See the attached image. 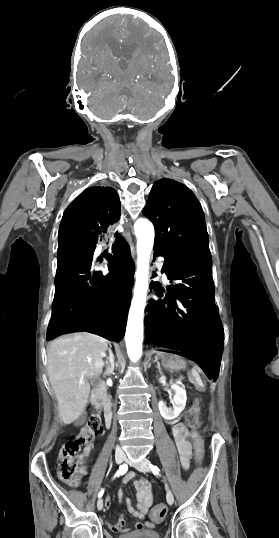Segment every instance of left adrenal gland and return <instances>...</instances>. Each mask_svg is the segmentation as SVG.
I'll return each instance as SVG.
<instances>
[{
    "mask_svg": "<svg viewBox=\"0 0 279 538\" xmlns=\"http://www.w3.org/2000/svg\"><path fill=\"white\" fill-rule=\"evenodd\" d=\"M155 362H157V358H155ZM156 368H158V372H160V374H162V372H161L160 362H157V366H156Z\"/></svg>",
    "mask_w": 279,
    "mask_h": 538,
    "instance_id": "left-adrenal-gland-1",
    "label": "left adrenal gland"
}]
</instances>
